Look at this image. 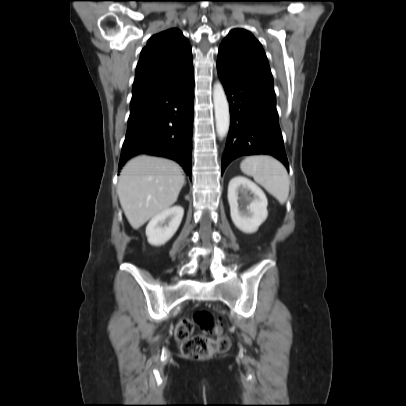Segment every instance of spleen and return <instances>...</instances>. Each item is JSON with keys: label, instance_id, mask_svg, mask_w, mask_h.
<instances>
[{"label": "spleen", "instance_id": "3e777b00", "mask_svg": "<svg viewBox=\"0 0 406 406\" xmlns=\"http://www.w3.org/2000/svg\"><path fill=\"white\" fill-rule=\"evenodd\" d=\"M240 168L281 204L286 202L290 180L285 167L278 160L266 155L249 156L241 162Z\"/></svg>", "mask_w": 406, "mask_h": 406}]
</instances>
